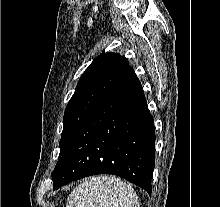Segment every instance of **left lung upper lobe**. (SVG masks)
I'll return each mask as SVG.
<instances>
[{
  "label": "left lung upper lobe",
  "mask_w": 220,
  "mask_h": 207,
  "mask_svg": "<svg viewBox=\"0 0 220 207\" xmlns=\"http://www.w3.org/2000/svg\"><path fill=\"white\" fill-rule=\"evenodd\" d=\"M128 67V60L119 54L102 53L85 70L65 109L59 158L76 130Z\"/></svg>",
  "instance_id": "obj_1"
}]
</instances>
